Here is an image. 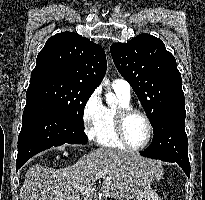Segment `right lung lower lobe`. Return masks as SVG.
I'll list each match as a JSON object with an SVG mask.
<instances>
[{
  "label": "right lung lower lobe",
  "mask_w": 205,
  "mask_h": 200,
  "mask_svg": "<svg viewBox=\"0 0 205 200\" xmlns=\"http://www.w3.org/2000/svg\"><path fill=\"white\" fill-rule=\"evenodd\" d=\"M81 128L53 106L38 99H27L18 137L16 171L35 154L65 143H86Z\"/></svg>",
  "instance_id": "obj_1"
}]
</instances>
